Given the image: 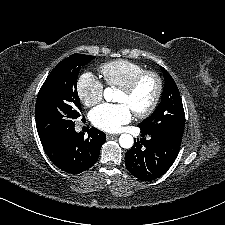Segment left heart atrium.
<instances>
[{"label": "left heart atrium", "instance_id": "left-heart-atrium-1", "mask_svg": "<svg viewBox=\"0 0 225 225\" xmlns=\"http://www.w3.org/2000/svg\"><path fill=\"white\" fill-rule=\"evenodd\" d=\"M132 111L125 104L116 105L103 103L90 113L92 124L107 132H117L123 125L130 122Z\"/></svg>", "mask_w": 225, "mask_h": 225}]
</instances>
